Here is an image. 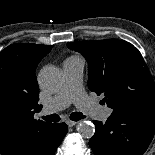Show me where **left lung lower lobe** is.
Returning <instances> with one entry per match:
<instances>
[{
	"mask_svg": "<svg viewBox=\"0 0 155 155\" xmlns=\"http://www.w3.org/2000/svg\"><path fill=\"white\" fill-rule=\"evenodd\" d=\"M93 122L89 145L95 155H143L155 131V113L111 114L106 123Z\"/></svg>",
	"mask_w": 155,
	"mask_h": 155,
	"instance_id": "obj_1",
	"label": "left lung lower lobe"
}]
</instances>
